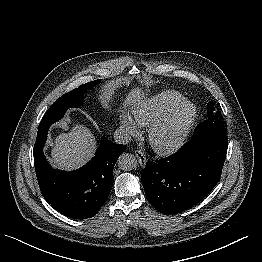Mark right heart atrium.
Wrapping results in <instances>:
<instances>
[{
  "label": "right heart atrium",
  "instance_id": "obj_1",
  "mask_svg": "<svg viewBox=\"0 0 262 262\" xmlns=\"http://www.w3.org/2000/svg\"><path fill=\"white\" fill-rule=\"evenodd\" d=\"M120 129L127 136L137 137L140 134L139 126L132 117L121 114L119 117Z\"/></svg>",
  "mask_w": 262,
  "mask_h": 262
}]
</instances>
